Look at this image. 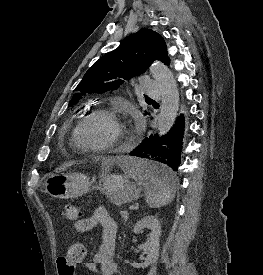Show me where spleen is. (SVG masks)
I'll return each mask as SVG.
<instances>
[{
    "instance_id": "spleen-1",
    "label": "spleen",
    "mask_w": 263,
    "mask_h": 275,
    "mask_svg": "<svg viewBox=\"0 0 263 275\" xmlns=\"http://www.w3.org/2000/svg\"><path fill=\"white\" fill-rule=\"evenodd\" d=\"M127 176L133 178L145 190L146 203L150 208H160L174 200V188L150 174L151 165L136 158H127L122 163Z\"/></svg>"
}]
</instances>
